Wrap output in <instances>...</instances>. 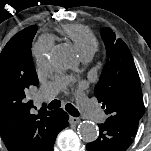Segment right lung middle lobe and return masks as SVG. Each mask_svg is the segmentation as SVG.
I'll use <instances>...</instances> for the list:
<instances>
[{
  "mask_svg": "<svg viewBox=\"0 0 151 151\" xmlns=\"http://www.w3.org/2000/svg\"><path fill=\"white\" fill-rule=\"evenodd\" d=\"M37 26H30L17 33L6 44L0 55V75L13 83L22 84L36 73L31 55L32 40Z\"/></svg>",
  "mask_w": 151,
  "mask_h": 151,
  "instance_id": "right-lung-middle-lobe-1",
  "label": "right lung middle lobe"
}]
</instances>
